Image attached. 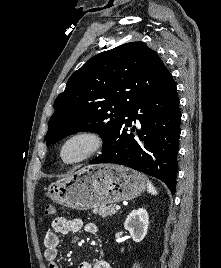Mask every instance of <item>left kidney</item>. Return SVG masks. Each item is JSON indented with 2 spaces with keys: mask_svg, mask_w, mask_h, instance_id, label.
Instances as JSON below:
<instances>
[{
  "mask_svg": "<svg viewBox=\"0 0 221 268\" xmlns=\"http://www.w3.org/2000/svg\"><path fill=\"white\" fill-rule=\"evenodd\" d=\"M149 216L144 208L133 210L124 222V228L129 231L133 241H142L148 230Z\"/></svg>",
  "mask_w": 221,
  "mask_h": 268,
  "instance_id": "1",
  "label": "left kidney"
}]
</instances>
